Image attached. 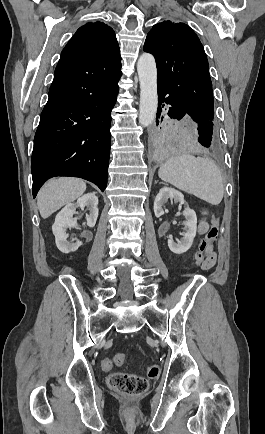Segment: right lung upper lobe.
Listing matches in <instances>:
<instances>
[{
	"mask_svg": "<svg viewBox=\"0 0 265 434\" xmlns=\"http://www.w3.org/2000/svg\"><path fill=\"white\" fill-rule=\"evenodd\" d=\"M119 54L113 29L98 21L81 26L65 46L61 56L109 57Z\"/></svg>",
	"mask_w": 265,
	"mask_h": 434,
	"instance_id": "cb5924a9",
	"label": "right lung upper lobe"
}]
</instances>
